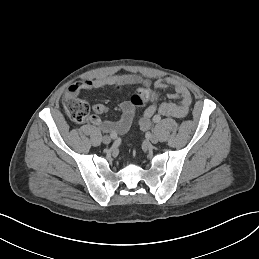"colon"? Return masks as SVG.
<instances>
[{
  "mask_svg": "<svg viewBox=\"0 0 259 259\" xmlns=\"http://www.w3.org/2000/svg\"><path fill=\"white\" fill-rule=\"evenodd\" d=\"M150 94V89L144 86L137 90L130 101L135 107H142L149 100ZM64 107L66 114L74 122L82 123L89 118V106L80 99L66 98Z\"/></svg>",
  "mask_w": 259,
  "mask_h": 259,
  "instance_id": "5ec220e1",
  "label": "colon"
}]
</instances>
